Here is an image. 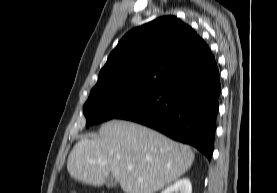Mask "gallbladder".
Returning a JSON list of instances; mask_svg holds the SVG:
<instances>
[{"label":"gallbladder","mask_w":277,"mask_h":193,"mask_svg":"<svg viewBox=\"0 0 277 193\" xmlns=\"http://www.w3.org/2000/svg\"><path fill=\"white\" fill-rule=\"evenodd\" d=\"M104 184L107 188H114L117 186V180L114 179L112 176H109Z\"/></svg>","instance_id":"bac80fb5"}]
</instances>
